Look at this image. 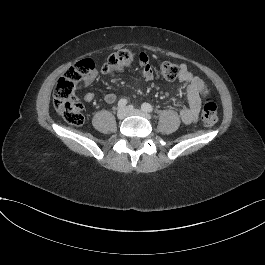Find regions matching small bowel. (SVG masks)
<instances>
[{"label":"small bowel","instance_id":"1","mask_svg":"<svg viewBox=\"0 0 265 265\" xmlns=\"http://www.w3.org/2000/svg\"><path fill=\"white\" fill-rule=\"evenodd\" d=\"M139 67L141 75L146 81L153 80L154 75L152 68L149 65L147 57L143 54L139 57ZM179 68V80L184 85V93L187 98V104L180 110V117L183 123L193 124L198 120L199 117L201 109V95L204 94L202 91V86L205 85V82L198 76L194 75L186 64H181ZM97 74L98 73L95 69L92 70L83 78L77 90L90 85L96 78ZM94 98L95 94L92 91H89L84 95V101L86 102H92ZM116 100L117 96L114 93H108L104 96V101L107 104H113Z\"/></svg>","mask_w":265,"mask_h":265}]
</instances>
